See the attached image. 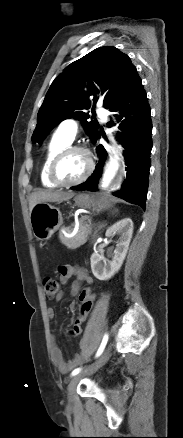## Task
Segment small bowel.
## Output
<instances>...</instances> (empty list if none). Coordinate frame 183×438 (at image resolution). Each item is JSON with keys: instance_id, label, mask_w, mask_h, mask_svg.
Here are the masks:
<instances>
[{"instance_id": "small-bowel-1", "label": "small bowel", "mask_w": 183, "mask_h": 438, "mask_svg": "<svg viewBox=\"0 0 183 438\" xmlns=\"http://www.w3.org/2000/svg\"><path fill=\"white\" fill-rule=\"evenodd\" d=\"M58 271L60 275L59 279L62 284H66L72 277L76 278V281L71 286L69 295L75 296L79 294L80 300L82 294H91V289L89 287L80 291L82 283H86L89 285L93 283V278L89 275L86 269L80 266L63 265L59 267ZM64 297L65 294L63 292H60L57 295L56 300L61 301L64 299ZM69 307L71 310H75L77 307L76 302H71ZM47 315L49 319L52 320L55 318V311L52 308H49L47 311ZM83 323L84 322L78 316L70 330V334L73 336L79 335L82 332ZM52 359L54 364L64 373L69 372L79 363V359L66 360L62 354V351L56 345H54L52 349Z\"/></svg>"}]
</instances>
